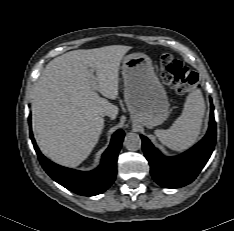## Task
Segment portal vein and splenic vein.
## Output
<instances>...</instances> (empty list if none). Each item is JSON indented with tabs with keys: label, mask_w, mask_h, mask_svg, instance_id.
<instances>
[{
	"label": "portal vein and splenic vein",
	"mask_w": 234,
	"mask_h": 231,
	"mask_svg": "<svg viewBox=\"0 0 234 231\" xmlns=\"http://www.w3.org/2000/svg\"><path fill=\"white\" fill-rule=\"evenodd\" d=\"M89 78H90V84H91V86H92V89L96 91V90L98 89V84H97V82L95 81L94 76L91 75Z\"/></svg>",
	"instance_id": "portal-vein-and-splenic-vein-1"
}]
</instances>
